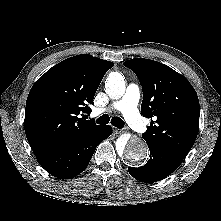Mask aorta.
Masks as SVG:
<instances>
[{"instance_id": "obj_1", "label": "aorta", "mask_w": 221, "mask_h": 221, "mask_svg": "<svg viewBox=\"0 0 221 221\" xmlns=\"http://www.w3.org/2000/svg\"><path fill=\"white\" fill-rule=\"evenodd\" d=\"M125 89L124 76L119 72L110 73L106 81V93L111 98L118 99L124 95ZM116 148L118 153L133 165L142 164L149 152L147 144L143 139L126 135L118 138Z\"/></svg>"}]
</instances>
